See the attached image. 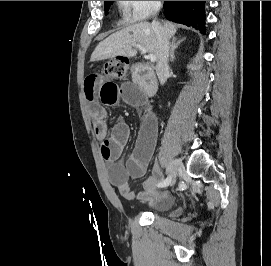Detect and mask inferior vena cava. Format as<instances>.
Returning <instances> with one entry per match:
<instances>
[{
  "label": "inferior vena cava",
  "mask_w": 271,
  "mask_h": 266,
  "mask_svg": "<svg viewBox=\"0 0 271 266\" xmlns=\"http://www.w3.org/2000/svg\"><path fill=\"white\" fill-rule=\"evenodd\" d=\"M159 10L160 7H157L155 13H157ZM152 26L156 33L159 50L158 61L156 65V73L161 84H164L166 82L167 74L169 72L168 66L169 39L164 28L156 20H153Z\"/></svg>",
  "instance_id": "obj_1"
}]
</instances>
